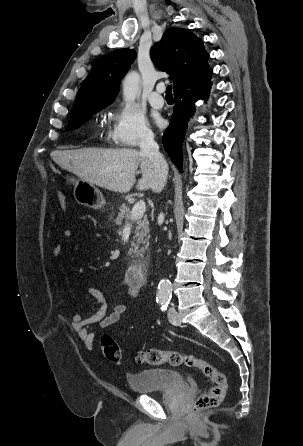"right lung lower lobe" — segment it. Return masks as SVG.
I'll return each mask as SVG.
<instances>
[{
    "label": "right lung lower lobe",
    "instance_id": "obj_1",
    "mask_svg": "<svg viewBox=\"0 0 303 446\" xmlns=\"http://www.w3.org/2000/svg\"><path fill=\"white\" fill-rule=\"evenodd\" d=\"M211 75L190 83L174 91L175 107L168 129L164 132L162 142L168 155L182 172V143L189 119L195 111L194 102L206 100L211 89Z\"/></svg>",
    "mask_w": 303,
    "mask_h": 446
}]
</instances>
